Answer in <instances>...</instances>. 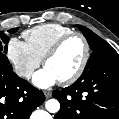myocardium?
Returning <instances> with one entry per match:
<instances>
[{
  "label": "myocardium",
  "mask_w": 119,
  "mask_h": 119,
  "mask_svg": "<svg viewBox=\"0 0 119 119\" xmlns=\"http://www.w3.org/2000/svg\"><path fill=\"white\" fill-rule=\"evenodd\" d=\"M78 37L82 40L83 44H84V56L82 59L81 64L79 65V67L77 68V70L71 74L70 76H68L65 79L59 80V83L62 85H69L74 83L84 72L89 59H90V52H91V48H90V44L87 40V38L79 32H72L70 34H67L65 36H63L62 38H60L49 50L48 52L45 54L44 58H43V65L45 66L46 63L52 59L54 56H56L59 51L61 50V48L64 46L65 43H67L69 40H71L72 38Z\"/></svg>",
  "instance_id": "myocardium-1"
}]
</instances>
